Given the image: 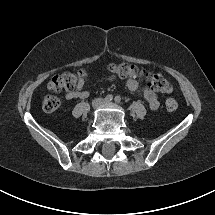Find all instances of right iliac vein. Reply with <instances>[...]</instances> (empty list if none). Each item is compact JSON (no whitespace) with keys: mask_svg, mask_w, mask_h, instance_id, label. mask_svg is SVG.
I'll return each mask as SVG.
<instances>
[{"mask_svg":"<svg viewBox=\"0 0 215 215\" xmlns=\"http://www.w3.org/2000/svg\"><path fill=\"white\" fill-rule=\"evenodd\" d=\"M103 104V101L101 99H95L92 103L94 108H98L99 106H101Z\"/></svg>","mask_w":215,"mask_h":215,"instance_id":"63e3f726","label":"right iliac vein"}]
</instances>
